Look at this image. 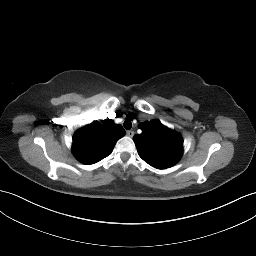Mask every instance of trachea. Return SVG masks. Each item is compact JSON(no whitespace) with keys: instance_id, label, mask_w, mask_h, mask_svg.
<instances>
[{"instance_id":"obj_1","label":"trachea","mask_w":256,"mask_h":256,"mask_svg":"<svg viewBox=\"0 0 256 256\" xmlns=\"http://www.w3.org/2000/svg\"><path fill=\"white\" fill-rule=\"evenodd\" d=\"M123 125H124L125 129H127V130L131 129V127H132V123L129 120H126Z\"/></svg>"}]
</instances>
